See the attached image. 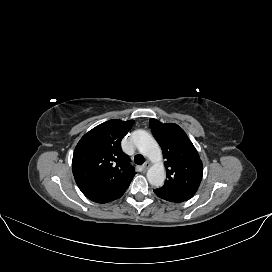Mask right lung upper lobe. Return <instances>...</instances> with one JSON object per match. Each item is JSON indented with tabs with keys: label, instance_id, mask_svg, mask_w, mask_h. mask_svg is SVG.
I'll list each match as a JSON object with an SVG mask.
<instances>
[{
	"label": "right lung upper lobe",
	"instance_id": "obj_1",
	"mask_svg": "<svg viewBox=\"0 0 272 272\" xmlns=\"http://www.w3.org/2000/svg\"><path fill=\"white\" fill-rule=\"evenodd\" d=\"M133 124V120H109L78 142L72 160L73 175L81 192L91 201H113L129 187L135 172L120 143Z\"/></svg>",
	"mask_w": 272,
	"mask_h": 272
}]
</instances>
